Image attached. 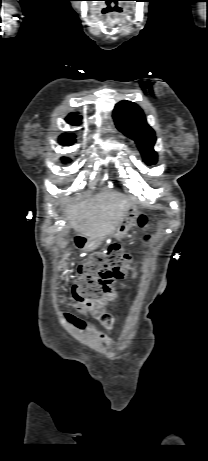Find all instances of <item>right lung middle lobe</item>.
<instances>
[{"instance_id":"right-lung-middle-lobe-1","label":"right lung middle lobe","mask_w":208,"mask_h":461,"mask_svg":"<svg viewBox=\"0 0 208 461\" xmlns=\"http://www.w3.org/2000/svg\"><path fill=\"white\" fill-rule=\"evenodd\" d=\"M75 142V139H70V138H66V137H63L61 136L60 137V143L61 144H64V145H72L73 143ZM63 161H70L68 158L66 159H63Z\"/></svg>"}]
</instances>
